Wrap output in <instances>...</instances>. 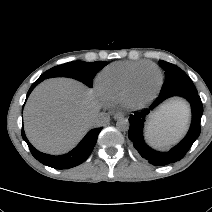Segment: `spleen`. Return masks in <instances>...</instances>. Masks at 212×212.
Wrapping results in <instances>:
<instances>
[{
	"instance_id": "spleen-1",
	"label": "spleen",
	"mask_w": 212,
	"mask_h": 212,
	"mask_svg": "<svg viewBox=\"0 0 212 212\" xmlns=\"http://www.w3.org/2000/svg\"><path fill=\"white\" fill-rule=\"evenodd\" d=\"M180 103V102H178ZM181 105H183V107L186 109V107L184 106V104L180 103ZM148 140L149 142L156 147H164V146H168L171 143H173L175 141V139L167 134H155V133H151L148 130V134H147Z\"/></svg>"
}]
</instances>
